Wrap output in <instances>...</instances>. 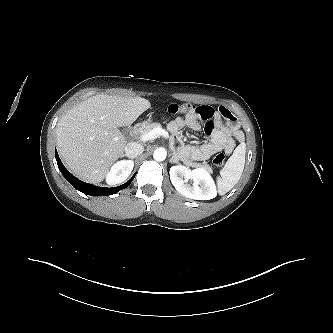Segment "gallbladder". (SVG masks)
Here are the masks:
<instances>
[{"label":"gallbladder","mask_w":333,"mask_h":333,"mask_svg":"<svg viewBox=\"0 0 333 333\" xmlns=\"http://www.w3.org/2000/svg\"><path fill=\"white\" fill-rule=\"evenodd\" d=\"M122 131H123V132H126V131H127V127L123 128Z\"/></svg>","instance_id":"bac80fb5"}]
</instances>
